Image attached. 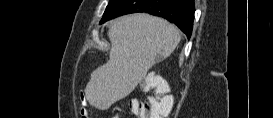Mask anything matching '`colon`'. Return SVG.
<instances>
[{
  "mask_svg": "<svg viewBox=\"0 0 273 118\" xmlns=\"http://www.w3.org/2000/svg\"><path fill=\"white\" fill-rule=\"evenodd\" d=\"M146 88H153L154 82L151 79L145 80ZM166 84H162L156 88L154 96H148L143 100L134 99L131 101L130 109L141 118H162L167 116L173 106V98L171 95L165 94ZM82 118H87L82 116Z\"/></svg>",
  "mask_w": 273,
  "mask_h": 118,
  "instance_id": "1",
  "label": "colon"
}]
</instances>
